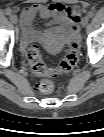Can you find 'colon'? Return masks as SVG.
Listing matches in <instances>:
<instances>
[{
	"label": "colon",
	"mask_w": 104,
	"mask_h": 137,
	"mask_svg": "<svg viewBox=\"0 0 104 137\" xmlns=\"http://www.w3.org/2000/svg\"><path fill=\"white\" fill-rule=\"evenodd\" d=\"M28 64L33 72L42 77L38 84L40 92L48 94L54 89V78L61 73L70 72L75 68L79 59L76 43H72L68 52L56 68L48 67L41 56L39 47L35 44L26 49Z\"/></svg>",
	"instance_id": "1"
}]
</instances>
